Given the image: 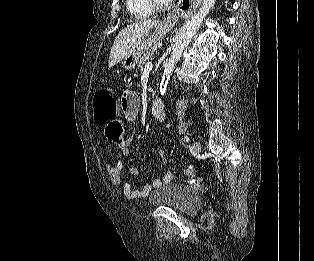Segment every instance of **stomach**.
<instances>
[{
    "instance_id": "0dacf381",
    "label": "stomach",
    "mask_w": 314,
    "mask_h": 261,
    "mask_svg": "<svg viewBox=\"0 0 314 261\" xmlns=\"http://www.w3.org/2000/svg\"><path fill=\"white\" fill-rule=\"evenodd\" d=\"M167 30L168 27L166 26V24L164 22L160 23V25L155 28L152 34L144 39L138 47H136L128 56L124 58V61L122 63L123 68H125L126 70L134 69L144 51L148 50L155 43H157L167 32Z\"/></svg>"
}]
</instances>
